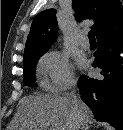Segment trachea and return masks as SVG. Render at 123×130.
Segmentation results:
<instances>
[{
	"label": "trachea",
	"instance_id": "obj_1",
	"mask_svg": "<svg viewBox=\"0 0 123 130\" xmlns=\"http://www.w3.org/2000/svg\"><path fill=\"white\" fill-rule=\"evenodd\" d=\"M88 38L90 41H95V34H94V31L91 30L89 33H88Z\"/></svg>",
	"mask_w": 123,
	"mask_h": 130
}]
</instances>
